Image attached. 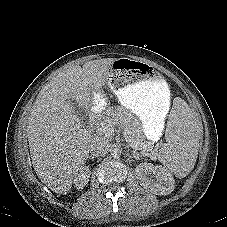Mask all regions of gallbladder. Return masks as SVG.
<instances>
[{
  "label": "gallbladder",
  "instance_id": "gallbladder-1",
  "mask_svg": "<svg viewBox=\"0 0 227 227\" xmlns=\"http://www.w3.org/2000/svg\"><path fill=\"white\" fill-rule=\"evenodd\" d=\"M70 105L73 108L74 114L81 121H84L87 118V111H84L75 101H70Z\"/></svg>",
  "mask_w": 227,
  "mask_h": 227
}]
</instances>
